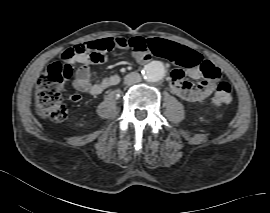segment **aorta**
Wrapping results in <instances>:
<instances>
[{"label": "aorta", "mask_w": 270, "mask_h": 213, "mask_svg": "<svg viewBox=\"0 0 270 213\" xmlns=\"http://www.w3.org/2000/svg\"><path fill=\"white\" fill-rule=\"evenodd\" d=\"M167 69L164 63L160 61H152L145 65L143 74L146 80L150 82H158L164 79Z\"/></svg>", "instance_id": "762f6f07"}]
</instances>
